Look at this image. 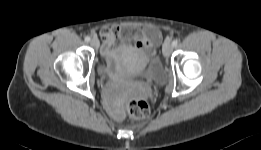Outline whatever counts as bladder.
Instances as JSON below:
<instances>
[{
  "label": "bladder",
  "instance_id": "bladder-1",
  "mask_svg": "<svg viewBox=\"0 0 261 150\" xmlns=\"http://www.w3.org/2000/svg\"><path fill=\"white\" fill-rule=\"evenodd\" d=\"M133 50L125 44L103 49L98 65V71L104 76H113L117 73L132 75L135 73L130 62ZM143 73L154 81L160 82L165 78L163 63L158 54L148 60Z\"/></svg>",
  "mask_w": 261,
  "mask_h": 150
}]
</instances>
